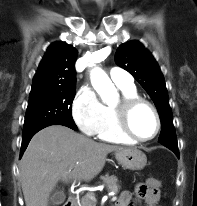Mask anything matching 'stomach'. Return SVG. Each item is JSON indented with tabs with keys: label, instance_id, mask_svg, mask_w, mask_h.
Instances as JSON below:
<instances>
[{
	"label": "stomach",
	"instance_id": "0dacf381",
	"mask_svg": "<svg viewBox=\"0 0 197 206\" xmlns=\"http://www.w3.org/2000/svg\"><path fill=\"white\" fill-rule=\"evenodd\" d=\"M115 158L123 168L130 170H141L147 164L146 155L134 148L116 151Z\"/></svg>",
	"mask_w": 197,
	"mask_h": 206
}]
</instances>
